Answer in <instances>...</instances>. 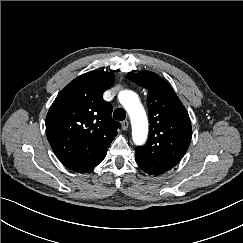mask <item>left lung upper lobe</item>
I'll return each instance as SVG.
<instances>
[{
  "label": "left lung upper lobe",
  "instance_id": "1",
  "mask_svg": "<svg viewBox=\"0 0 243 243\" xmlns=\"http://www.w3.org/2000/svg\"><path fill=\"white\" fill-rule=\"evenodd\" d=\"M127 78L148 90L149 138L137 147L136 162L150 175L163 174L187 152L192 137L188 112L171 86L155 73L129 72Z\"/></svg>",
  "mask_w": 243,
  "mask_h": 243
}]
</instances>
